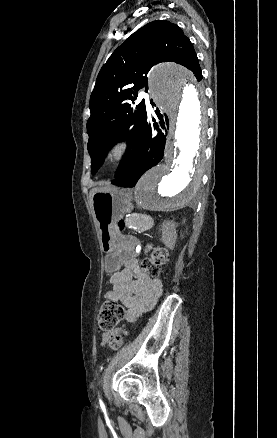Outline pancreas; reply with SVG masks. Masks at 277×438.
<instances>
[{
	"mask_svg": "<svg viewBox=\"0 0 277 438\" xmlns=\"http://www.w3.org/2000/svg\"><path fill=\"white\" fill-rule=\"evenodd\" d=\"M124 225L129 227L128 229L131 232L145 233L149 226V219L146 218L145 214H130L128 218L124 220Z\"/></svg>",
	"mask_w": 277,
	"mask_h": 438,
	"instance_id": "cf45deb5",
	"label": "pancreas"
}]
</instances>
